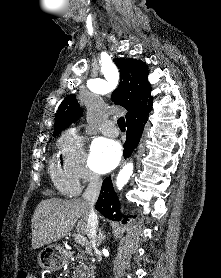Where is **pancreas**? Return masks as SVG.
Wrapping results in <instances>:
<instances>
[{"label": "pancreas", "instance_id": "pancreas-1", "mask_svg": "<svg viewBox=\"0 0 221 278\" xmlns=\"http://www.w3.org/2000/svg\"><path fill=\"white\" fill-rule=\"evenodd\" d=\"M79 259L85 258L83 255H78ZM75 264V263H74ZM81 268H75L73 278H93L94 267L88 266L85 263L81 262Z\"/></svg>", "mask_w": 221, "mask_h": 278}]
</instances>
